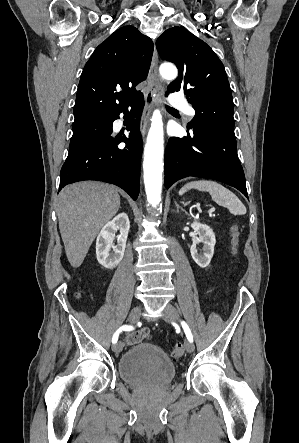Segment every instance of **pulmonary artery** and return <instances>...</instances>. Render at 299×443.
<instances>
[{"label": "pulmonary artery", "mask_w": 299, "mask_h": 443, "mask_svg": "<svg viewBox=\"0 0 299 443\" xmlns=\"http://www.w3.org/2000/svg\"><path fill=\"white\" fill-rule=\"evenodd\" d=\"M169 101L174 108L182 110L190 117L194 116V109L188 105L185 98L180 93H172L169 96Z\"/></svg>", "instance_id": "1"}]
</instances>
